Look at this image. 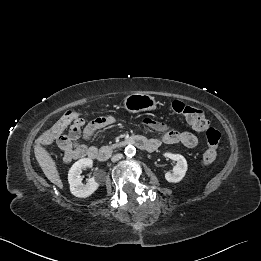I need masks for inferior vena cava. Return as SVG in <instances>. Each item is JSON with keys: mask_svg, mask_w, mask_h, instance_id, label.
<instances>
[{"mask_svg": "<svg viewBox=\"0 0 261 261\" xmlns=\"http://www.w3.org/2000/svg\"><path fill=\"white\" fill-rule=\"evenodd\" d=\"M122 157H123V155L120 154V153H119V154H115V155L112 156L111 161H112V162H117V161H119Z\"/></svg>", "mask_w": 261, "mask_h": 261, "instance_id": "602c4592", "label": "inferior vena cava"}]
</instances>
